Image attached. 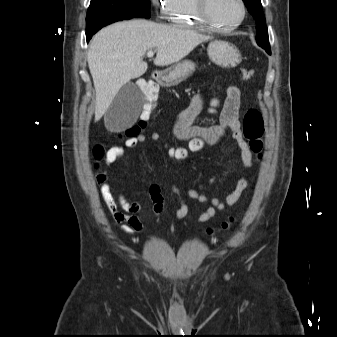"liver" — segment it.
<instances>
[{"label": "liver", "instance_id": "obj_1", "mask_svg": "<svg viewBox=\"0 0 337 337\" xmlns=\"http://www.w3.org/2000/svg\"><path fill=\"white\" fill-rule=\"evenodd\" d=\"M210 39L196 31L143 19L117 22L101 29L92 39L87 61L96 91L95 122L108 110L119 90L142 76L147 51H156L154 64L179 62L200 43Z\"/></svg>", "mask_w": 337, "mask_h": 337}]
</instances>
